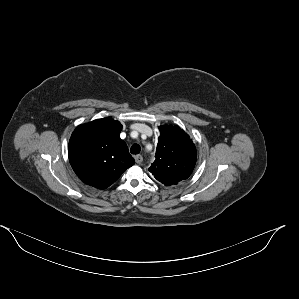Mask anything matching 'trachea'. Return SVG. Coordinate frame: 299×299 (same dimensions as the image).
<instances>
[{
	"mask_svg": "<svg viewBox=\"0 0 299 299\" xmlns=\"http://www.w3.org/2000/svg\"><path fill=\"white\" fill-rule=\"evenodd\" d=\"M140 151H141V147H140V145H138V144H134V145H132L131 148H130V152H131L132 154H139Z\"/></svg>",
	"mask_w": 299,
	"mask_h": 299,
	"instance_id": "1",
	"label": "trachea"
}]
</instances>
